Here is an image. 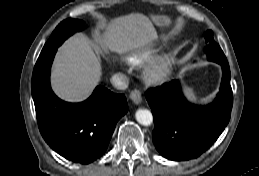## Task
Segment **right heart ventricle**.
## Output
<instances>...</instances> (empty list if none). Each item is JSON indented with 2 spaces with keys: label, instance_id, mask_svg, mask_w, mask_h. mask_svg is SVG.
Returning a JSON list of instances; mask_svg holds the SVG:
<instances>
[{
  "label": "right heart ventricle",
  "instance_id": "e07e8e85",
  "mask_svg": "<svg viewBox=\"0 0 259 176\" xmlns=\"http://www.w3.org/2000/svg\"><path fill=\"white\" fill-rule=\"evenodd\" d=\"M151 60L150 54L143 53L140 51H135L131 53L128 58L127 62L134 67H140L146 65Z\"/></svg>",
  "mask_w": 259,
  "mask_h": 176
}]
</instances>
